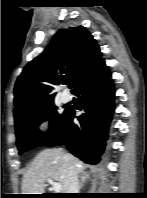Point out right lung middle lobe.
I'll return each mask as SVG.
<instances>
[{
    "label": "right lung middle lobe",
    "instance_id": "right-lung-middle-lobe-1",
    "mask_svg": "<svg viewBox=\"0 0 147 198\" xmlns=\"http://www.w3.org/2000/svg\"><path fill=\"white\" fill-rule=\"evenodd\" d=\"M68 113L69 109H65L64 112L60 113L57 106L51 103L17 121L15 123V131L19 154L36 146H42L54 137L64 125ZM45 120L50 121L48 134H44L38 129L39 124Z\"/></svg>",
    "mask_w": 147,
    "mask_h": 198
}]
</instances>
